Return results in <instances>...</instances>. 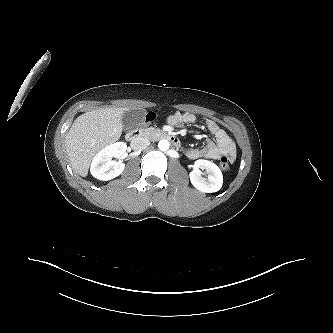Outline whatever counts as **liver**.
I'll use <instances>...</instances> for the list:
<instances>
[{
	"label": "liver",
	"mask_w": 333,
	"mask_h": 333,
	"mask_svg": "<svg viewBox=\"0 0 333 333\" xmlns=\"http://www.w3.org/2000/svg\"><path fill=\"white\" fill-rule=\"evenodd\" d=\"M126 111L128 108H99L75 119L66 135L71 167L75 173L86 177L97 152L120 138Z\"/></svg>",
	"instance_id": "6515ba94"
}]
</instances>
